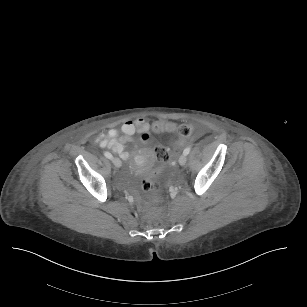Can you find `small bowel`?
<instances>
[{
    "label": "small bowel",
    "mask_w": 307,
    "mask_h": 307,
    "mask_svg": "<svg viewBox=\"0 0 307 307\" xmlns=\"http://www.w3.org/2000/svg\"><path fill=\"white\" fill-rule=\"evenodd\" d=\"M150 124L144 118L125 121L121 128L109 129L106 133L97 136L96 142L103 148H109L118 154L123 160L132 157V154L126 150L128 143L133 141L132 136L138 132L143 140L149 139Z\"/></svg>",
    "instance_id": "obj_1"
}]
</instances>
